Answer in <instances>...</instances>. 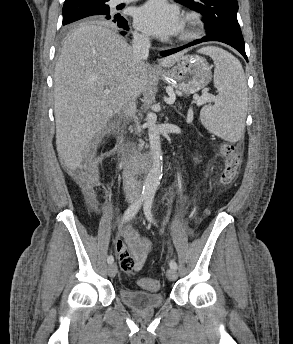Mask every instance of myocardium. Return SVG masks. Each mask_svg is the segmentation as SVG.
Masks as SVG:
<instances>
[{"label":"myocardium","mask_w":293,"mask_h":344,"mask_svg":"<svg viewBox=\"0 0 293 344\" xmlns=\"http://www.w3.org/2000/svg\"><path fill=\"white\" fill-rule=\"evenodd\" d=\"M202 32V21L198 14L188 13L183 22L182 31L178 37L181 42H187L196 39Z\"/></svg>","instance_id":"myocardium-1"}]
</instances>
